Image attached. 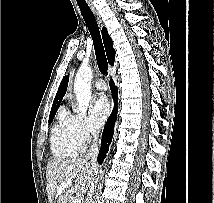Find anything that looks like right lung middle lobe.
Returning <instances> with one entry per match:
<instances>
[{"instance_id":"dd1d6c3e","label":"right lung middle lobe","mask_w":214,"mask_h":203,"mask_svg":"<svg viewBox=\"0 0 214 203\" xmlns=\"http://www.w3.org/2000/svg\"><path fill=\"white\" fill-rule=\"evenodd\" d=\"M54 116H55V115H51V116H49V123H51V122L53 121Z\"/></svg>"}]
</instances>
